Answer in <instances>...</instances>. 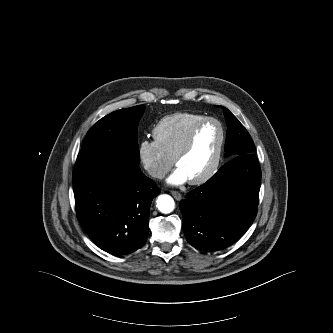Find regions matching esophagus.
<instances>
[{"label": "esophagus", "mask_w": 333, "mask_h": 333, "mask_svg": "<svg viewBox=\"0 0 333 333\" xmlns=\"http://www.w3.org/2000/svg\"><path fill=\"white\" fill-rule=\"evenodd\" d=\"M171 194L178 201H180L182 199V195L177 191H171Z\"/></svg>", "instance_id": "34e87169"}]
</instances>
